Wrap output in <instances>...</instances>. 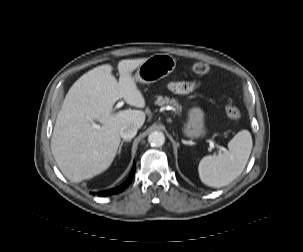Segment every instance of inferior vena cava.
I'll use <instances>...</instances> for the list:
<instances>
[{
  "label": "inferior vena cava",
  "mask_w": 303,
  "mask_h": 252,
  "mask_svg": "<svg viewBox=\"0 0 303 252\" xmlns=\"http://www.w3.org/2000/svg\"><path fill=\"white\" fill-rule=\"evenodd\" d=\"M137 134V127L125 125L120 129V136L125 140L132 139Z\"/></svg>",
  "instance_id": "602c4592"
}]
</instances>
